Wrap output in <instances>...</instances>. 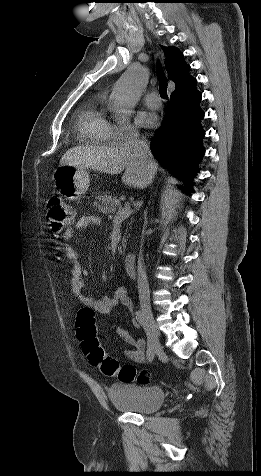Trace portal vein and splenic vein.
<instances>
[{
  "label": "portal vein and splenic vein",
  "instance_id": "18ae733b",
  "mask_svg": "<svg viewBox=\"0 0 261 476\" xmlns=\"http://www.w3.org/2000/svg\"><path fill=\"white\" fill-rule=\"evenodd\" d=\"M131 214H132L131 207L126 204L122 209L118 210V212L116 213V215L114 217V220L115 221H118V220L121 221V220L126 219L127 217H129Z\"/></svg>",
  "mask_w": 261,
  "mask_h": 476
}]
</instances>
